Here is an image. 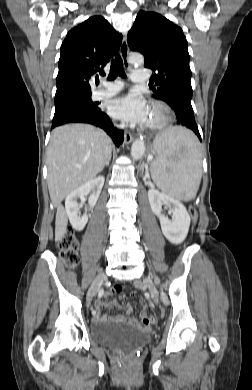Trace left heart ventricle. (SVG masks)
<instances>
[{"label": "left heart ventricle", "instance_id": "obj_1", "mask_svg": "<svg viewBox=\"0 0 252 390\" xmlns=\"http://www.w3.org/2000/svg\"><path fill=\"white\" fill-rule=\"evenodd\" d=\"M160 118V113L156 110L150 109L147 124L153 123Z\"/></svg>", "mask_w": 252, "mask_h": 390}]
</instances>
